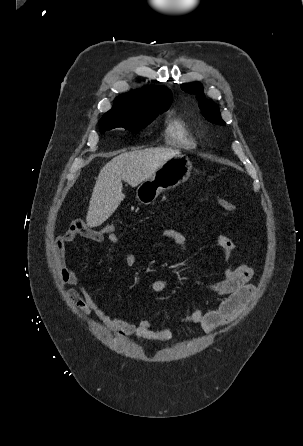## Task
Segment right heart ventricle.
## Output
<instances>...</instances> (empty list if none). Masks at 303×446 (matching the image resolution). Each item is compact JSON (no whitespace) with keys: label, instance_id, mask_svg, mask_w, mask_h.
I'll return each mask as SVG.
<instances>
[{"label":"right heart ventricle","instance_id":"e07e8e85","mask_svg":"<svg viewBox=\"0 0 303 446\" xmlns=\"http://www.w3.org/2000/svg\"><path fill=\"white\" fill-rule=\"evenodd\" d=\"M164 137L168 145L181 149H192L197 145L196 137L190 125L178 117L168 119Z\"/></svg>","mask_w":303,"mask_h":446}]
</instances>
